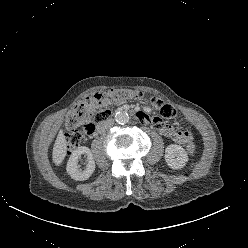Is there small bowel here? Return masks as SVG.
Here are the masks:
<instances>
[{
  "label": "small bowel",
  "mask_w": 248,
  "mask_h": 248,
  "mask_svg": "<svg viewBox=\"0 0 248 248\" xmlns=\"http://www.w3.org/2000/svg\"><path fill=\"white\" fill-rule=\"evenodd\" d=\"M148 105L154 108L155 112L159 115L158 117L144 114L143 123L151 124L155 129L160 131V133L166 137L171 138L177 144H187L192 141V135L187 131H178L169 125L167 121L177 120L180 117V112L177 110L172 103L163 101L157 97H151L148 100ZM187 120L194 125L190 118Z\"/></svg>",
  "instance_id": "1"
}]
</instances>
